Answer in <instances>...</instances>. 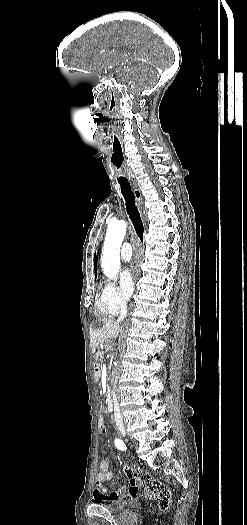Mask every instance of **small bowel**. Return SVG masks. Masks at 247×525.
I'll list each match as a JSON object with an SVG mask.
<instances>
[{
  "instance_id": "obj_1",
  "label": "small bowel",
  "mask_w": 247,
  "mask_h": 525,
  "mask_svg": "<svg viewBox=\"0 0 247 525\" xmlns=\"http://www.w3.org/2000/svg\"><path fill=\"white\" fill-rule=\"evenodd\" d=\"M101 429L104 430V428ZM109 465L110 461L108 457H104L99 462V470L96 475L97 489L95 490L93 496L96 506H118L120 500L124 498V496L119 492L107 494L100 489L103 484L110 482L113 479V474L109 471ZM123 473L128 475L130 470L125 468ZM129 479L131 484L129 485L128 490L131 497H136L138 492L141 490V487L144 485L150 493L154 494V500L158 510L163 508L166 512L171 510V491L169 487L164 485V483H160L158 480H151V476L147 472H133L130 474Z\"/></svg>"
}]
</instances>
